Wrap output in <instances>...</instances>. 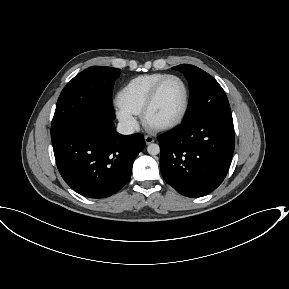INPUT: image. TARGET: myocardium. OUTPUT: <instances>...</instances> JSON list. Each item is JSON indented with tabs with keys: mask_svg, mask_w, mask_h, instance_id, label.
Listing matches in <instances>:
<instances>
[{
	"mask_svg": "<svg viewBox=\"0 0 289 289\" xmlns=\"http://www.w3.org/2000/svg\"><path fill=\"white\" fill-rule=\"evenodd\" d=\"M170 79H176L178 81L181 82V84L183 85L184 88V92H185V99H184V104H183V108L180 112V114L178 115L177 118H175L174 120L164 123V124H152L149 121V113L158 97V94L160 92V89L162 88V86ZM189 105H190V89L189 86L187 84V82L178 75H174V74H168L165 77H163L161 80H159L154 87L152 88V90L150 91L144 106L142 108L141 111V118L142 121L144 123V125L149 128L150 130L153 131H167L170 129H173L175 127H177L178 125H180L182 123V121L184 120V118L187 115L188 109H189Z\"/></svg>",
	"mask_w": 289,
	"mask_h": 289,
	"instance_id": "myocardium-1",
	"label": "myocardium"
}]
</instances>
